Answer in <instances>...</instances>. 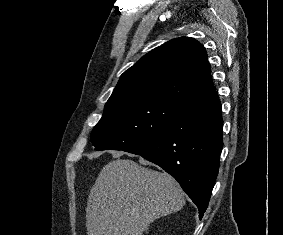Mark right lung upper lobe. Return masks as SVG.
<instances>
[{"instance_id":"obj_1","label":"right lung upper lobe","mask_w":283,"mask_h":235,"mask_svg":"<svg viewBox=\"0 0 283 235\" xmlns=\"http://www.w3.org/2000/svg\"><path fill=\"white\" fill-rule=\"evenodd\" d=\"M214 90L205 48L193 38L181 37L155 48L126 70L106 104L139 98L186 104Z\"/></svg>"}]
</instances>
